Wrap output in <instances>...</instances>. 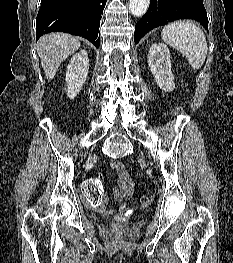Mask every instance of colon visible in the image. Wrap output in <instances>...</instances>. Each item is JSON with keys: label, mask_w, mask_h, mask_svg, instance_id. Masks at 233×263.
<instances>
[{"label": "colon", "mask_w": 233, "mask_h": 263, "mask_svg": "<svg viewBox=\"0 0 233 263\" xmlns=\"http://www.w3.org/2000/svg\"><path fill=\"white\" fill-rule=\"evenodd\" d=\"M96 178H85L83 182V187L85 190V199L87 201V208H98L100 205L103 189H102V177L106 176V171H95ZM152 202V197L149 194H143L140 197V203L142 206L146 207Z\"/></svg>", "instance_id": "5ec220e1"}]
</instances>
